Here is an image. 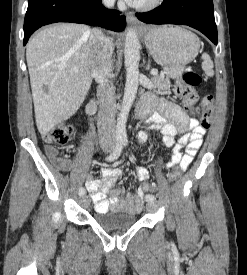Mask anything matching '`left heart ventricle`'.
Segmentation results:
<instances>
[{
    "label": "left heart ventricle",
    "mask_w": 247,
    "mask_h": 275,
    "mask_svg": "<svg viewBox=\"0 0 247 275\" xmlns=\"http://www.w3.org/2000/svg\"><path fill=\"white\" fill-rule=\"evenodd\" d=\"M148 0H140L139 1V4H143V3H145V2H147Z\"/></svg>",
    "instance_id": "obj_1"
}]
</instances>
